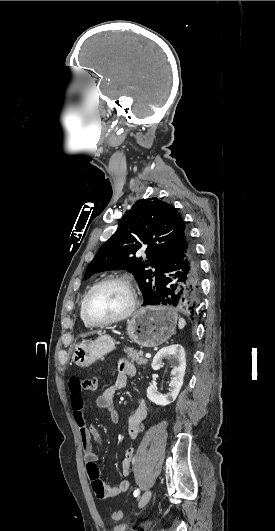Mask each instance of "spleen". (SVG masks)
<instances>
[{"label":"spleen","mask_w":275,"mask_h":531,"mask_svg":"<svg viewBox=\"0 0 275 531\" xmlns=\"http://www.w3.org/2000/svg\"><path fill=\"white\" fill-rule=\"evenodd\" d=\"M185 325H186L185 319H182V317H179L178 329H184Z\"/></svg>","instance_id":"1"}]
</instances>
